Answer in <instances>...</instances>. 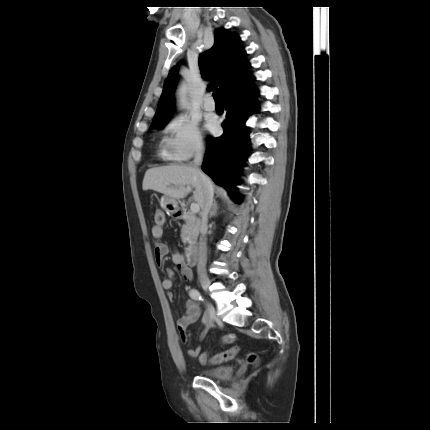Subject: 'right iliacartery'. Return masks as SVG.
Instances as JSON below:
<instances>
[{
	"mask_svg": "<svg viewBox=\"0 0 430 430\" xmlns=\"http://www.w3.org/2000/svg\"><path fill=\"white\" fill-rule=\"evenodd\" d=\"M189 295L194 300L203 301V298H202L200 292L198 290H196V289H192L190 291ZM209 318H210V320L213 319V313L209 312Z\"/></svg>",
	"mask_w": 430,
	"mask_h": 430,
	"instance_id": "obj_1",
	"label": "right iliac artery"
}]
</instances>
